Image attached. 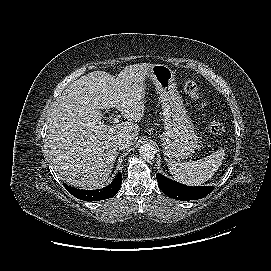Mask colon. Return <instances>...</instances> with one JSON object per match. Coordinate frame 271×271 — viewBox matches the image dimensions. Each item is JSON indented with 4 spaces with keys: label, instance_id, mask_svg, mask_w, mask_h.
<instances>
[{
    "label": "colon",
    "instance_id": "colon-1",
    "mask_svg": "<svg viewBox=\"0 0 271 271\" xmlns=\"http://www.w3.org/2000/svg\"><path fill=\"white\" fill-rule=\"evenodd\" d=\"M184 90L185 92L195 101H199L201 99V94L199 91L198 85L192 81L188 80L184 84ZM202 106H205L206 103L204 101H201ZM225 130L224 124L219 120H212L209 123V132L212 135H221Z\"/></svg>",
    "mask_w": 271,
    "mask_h": 271
}]
</instances>
